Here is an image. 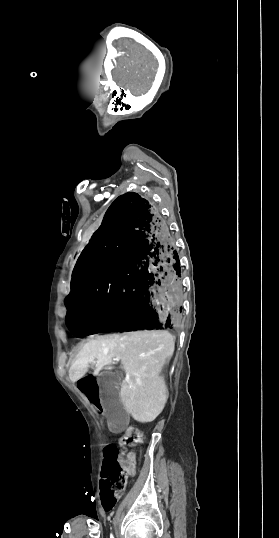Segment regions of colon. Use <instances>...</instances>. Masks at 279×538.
Returning <instances> with one entry per match:
<instances>
[{
	"label": "colon",
	"mask_w": 279,
	"mask_h": 538,
	"mask_svg": "<svg viewBox=\"0 0 279 538\" xmlns=\"http://www.w3.org/2000/svg\"><path fill=\"white\" fill-rule=\"evenodd\" d=\"M143 442L142 432L136 427H129L124 432L120 445L134 447ZM104 460L101 478V499L105 510H111L125 489L130 473L119 465V450L113 445H107L103 451Z\"/></svg>",
	"instance_id": "5ec220e1"
}]
</instances>
